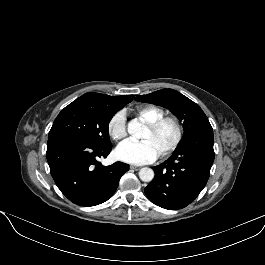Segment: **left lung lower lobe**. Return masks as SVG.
Masks as SVG:
<instances>
[{
  "label": "left lung lower lobe",
  "mask_w": 265,
  "mask_h": 265,
  "mask_svg": "<svg viewBox=\"0 0 265 265\" xmlns=\"http://www.w3.org/2000/svg\"><path fill=\"white\" fill-rule=\"evenodd\" d=\"M213 130L199 131L179 144L145 188L155 205L178 210L193 202L205 187L214 161Z\"/></svg>",
  "instance_id": "left-lung-lower-lobe-1"
}]
</instances>
